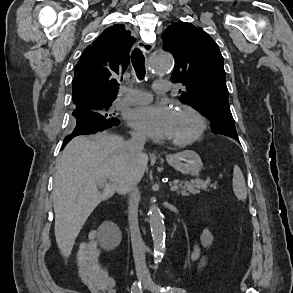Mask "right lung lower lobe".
<instances>
[{"instance_id": "1", "label": "right lung lower lobe", "mask_w": 293, "mask_h": 293, "mask_svg": "<svg viewBox=\"0 0 293 293\" xmlns=\"http://www.w3.org/2000/svg\"><path fill=\"white\" fill-rule=\"evenodd\" d=\"M75 128L64 138L63 149L66 144L75 136L81 134H91L102 131L112 126L119 125V121L114 117H106L100 113L93 111H73Z\"/></svg>"}]
</instances>
